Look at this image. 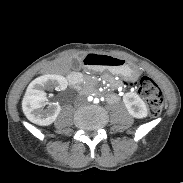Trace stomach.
<instances>
[{"instance_id":"0dacf381","label":"stomach","mask_w":183,"mask_h":183,"mask_svg":"<svg viewBox=\"0 0 183 183\" xmlns=\"http://www.w3.org/2000/svg\"><path fill=\"white\" fill-rule=\"evenodd\" d=\"M101 63L99 69L109 70L112 74L122 75L127 78H136L139 75V69L133 67L124 58L116 57L109 54H101Z\"/></svg>"}]
</instances>
